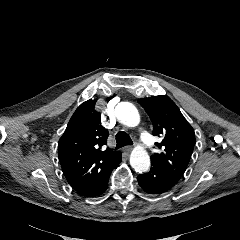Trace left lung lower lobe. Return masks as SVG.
<instances>
[{"instance_id":"0a47b994","label":"left lung lower lobe","mask_w":240,"mask_h":240,"mask_svg":"<svg viewBox=\"0 0 240 240\" xmlns=\"http://www.w3.org/2000/svg\"><path fill=\"white\" fill-rule=\"evenodd\" d=\"M141 188L149 194H162L174 188L179 180L164 168L152 164L151 170L137 177Z\"/></svg>"}]
</instances>
